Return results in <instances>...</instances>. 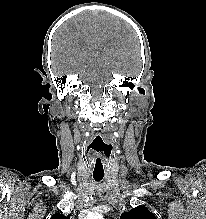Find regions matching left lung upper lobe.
Masks as SVG:
<instances>
[{
  "instance_id": "left-lung-upper-lobe-1",
  "label": "left lung upper lobe",
  "mask_w": 206,
  "mask_h": 219,
  "mask_svg": "<svg viewBox=\"0 0 206 219\" xmlns=\"http://www.w3.org/2000/svg\"><path fill=\"white\" fill-rule=\"evenodd\" d=\"M120 219H157L155 215L144 206H137L129 212L121 214Z\"/></svg>"
}]
</instances>
